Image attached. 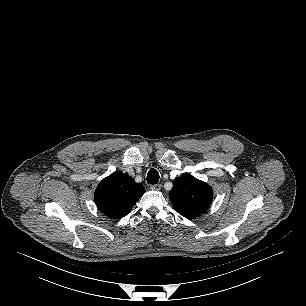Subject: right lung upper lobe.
Listing matches in <instances>:
<instances>
[{
	"label": "right lung upper lobe",
	"mask_w": 306,
	"mask_h": 306,
	"mask_svg": "<svg viewBox=\"0 0 306 306\" xmlns=\"http://www.w3.org/2000/svg\"><path fill=\"white\" fill-rule=\"evenodd\" d=\"M144 192L141 183H136L125 173L114 172L99 183L94 198L102 213L120 219L131 211Z\"/></svg>",
	"instance_id": "1"
}]
</instances>
